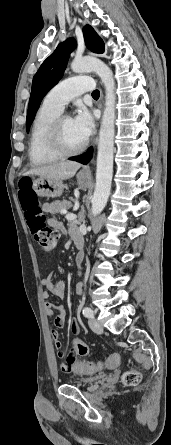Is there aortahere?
<instances>
[{
    "label": "aorta",
    "mask_w": 171,
    "mask_h": 445,
    "mask_svg": "<svg viewBox=\"0 0 171 445\" xmlns=\"http://www.w3.org/2000/svg\"><path fill=\"white\" fill-rule=\"evenodd\" d=\"M71 69L75 73L95 72L105 87V108L99 132L96 185L92 198V214L99 215L105 208L111 190L115 135V81L112 70L94 57L74 59Z\"/></svg>",
    "instance_id": "1"
}]
</instances>
